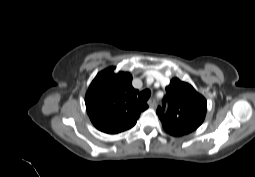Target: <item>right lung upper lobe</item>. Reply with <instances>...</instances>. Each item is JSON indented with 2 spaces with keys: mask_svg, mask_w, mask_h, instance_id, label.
Listing matches in <instances>:
<instances>
[{
  "mask_svg": "<svg viewBox=\"0 0 255 177\" xmlns=\"http://www.w3.org/2000/svg\"><path fill=\"white\" fill-rule=\"evenodd\" d=\"M114 67L101 71L92 81L85 96L87 113L93 125L108 134L132 128L140 113L148 108L137 100L128 72L114 73Z\"/></svg>",
  "mask_w": 255,
  "mask_h": 177,
  "instance_id": "cb5924a9",
  "label": "right lung upper lobe"
}]
</instances>
